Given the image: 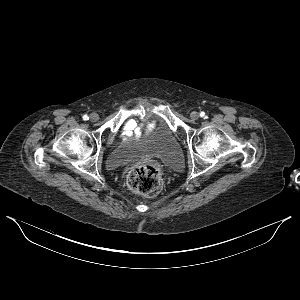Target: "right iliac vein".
Listing matches in <instances>:
<instances>
[{
  "label": "right iliac vein",
  "instance_id": "obj_1",
  "mask_svg": "<svg viewBox=\"0 0 300 300\" xmlns=\"http://www.w3.org/2000/svg\"><path fill=\"white\" fill-rule=\"evenodd\" d=\"M98 119H99V115L97 113L90 114V120L92 122H96V121H98Z\"/></svg>",
  "mask_w": 300,
  "mask_h": 300
}]
</instances>
